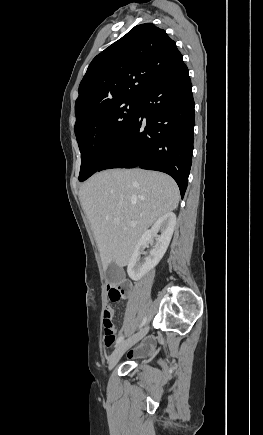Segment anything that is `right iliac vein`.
<instances>
[{
  "instance_id": "obj_1",
  "label": "right iliac vein",
  "mask_w": 263,
  "mask_h": 435,
  "mask_svg": "<svg viewBox=\"0 0 263 435\" xmlns=\"http://www.w3.org/2000/svg\"><path fill=\"white\" fill-rule=\"evenodd\" d=\"M149 328L146 327L133 335L132 337L128 338L127 340L121 342L117 348L113 351L109 358V365L108 368L111 370L120 360V358L123 356V354L131 348L135 343H137L139 340H141L148 332Z\"/></svg>"
}]
</instances>
